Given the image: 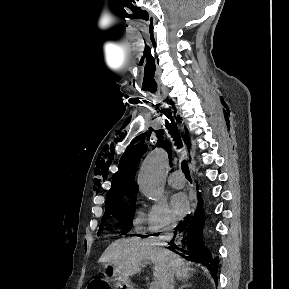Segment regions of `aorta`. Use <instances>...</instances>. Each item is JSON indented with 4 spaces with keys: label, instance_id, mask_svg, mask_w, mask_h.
Instances as JSON below:
<instances>
[{
    "label": "aorta",
    "instance_id": "762f6f07",
    "mask_svg": "<svg viewBox=\"0 0 289 289\" xmlns=\"http://www.w3.org/2000/svg\"><path fill=\"white\" fill-rule=\"evenodd\" d=\"M167 168L168 156L162 148L155 149L145 158L138 174V186L142 194L151 200H160Z\"/></svg>",
    "mask_w": 289,
    "mask_h": 289
}]
</instances>
